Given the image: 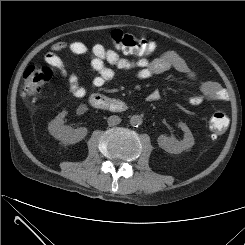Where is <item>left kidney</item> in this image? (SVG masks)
I'll list each match as a JSON object with an SVG mask.
<instances>
[{
	"instance_id": "5707ae66",
	"label": "left kidney",
	"mask_w": 245,
	"mask_h": 245,
	"mask_svg": "<svg viewBox=\"0 0 245 245\" xmlns=\"http://www.w3.org/2000/svg\"><path fill=\"white\" fill-rule=\"evenodd\" d=\"M179 127L184 132V139L176 140L174 137L161 135L158 138V143L162 149L169 153L179 154L185 150L190 149L194 145V137L185 123H179Z\"/></svg>"
}]
</instances>
